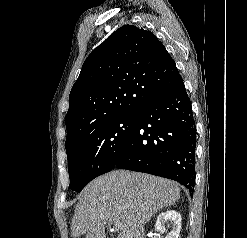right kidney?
<instances>
[{
	"instance_id": "obj_1",
	"label": "right kidney",
	"mask_w": 247,
	"mask_h": 238,
	"mask_svg": "<svg viewBox=\"0 0 247 238\" xmlns=\"http://www.w3.org/2000/svg\"><path fill=\"white\" fill-rule=\"evenodd\" d=\"M170 222L171 231L166 238H179L181 229V215L174 210H167L162 212L155 222V231H162L165 228V224Z\"/></svg>"
}]
</instances>
